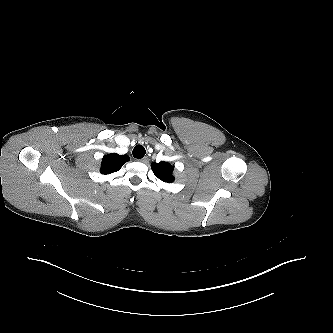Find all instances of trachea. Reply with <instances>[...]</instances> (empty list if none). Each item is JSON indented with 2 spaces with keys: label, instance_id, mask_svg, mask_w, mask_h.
Returning <instances> with one entry per match:
<instances>
[{
  "label": "trachea",
  "instance_id": "obj_1",
  "mask_svg": "<svg viewBox=\"0 0 333 333\" xmlns=\"http://www.w3.org/2000/svg\"><path fill=\"white\" fill-rule=\"evenodd\" d=\"M145 153H146V150L142 145L135 146V148L133 149V152H132L134 158H137V159L143 158Z\"/></svg>",
  "mask_w": 333,
  "mask_h": 333
}]
</instances>
